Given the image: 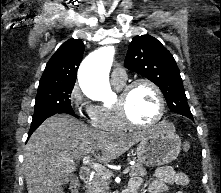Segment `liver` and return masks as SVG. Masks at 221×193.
<instances>
[{"instance_id":"1","label":"liver","mask_w":221,"mask_h":193,"mask_svg":"<svg viewBox=\"0 0 221 193\" xmlns=\"http://www.w3.org/2000/svg\"><path fill=\"white\" fill-rule=\"evenodd\" d=\"M150 132L113 134L89 128L70 115L51 116L35 130L25 146L23 168L28 193H64L63 180L76 169V160L100 150L97 159L110 162Z\"/></svg>"}]
</instances>
